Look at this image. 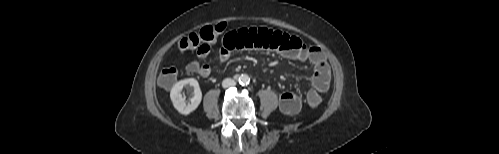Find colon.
Returning <instances> with one entry per match:
<instances>
[{"label":"colon","mask_w":499,"mask_h":154,"mask_svg":"<svg viewBox=\"0 0 499 154\" xmlns=\"http://www.w3.org/2000/svg\"><path fill=\"white\" fill-rule=\"evenodd\" d=\"M225 28L226 25L224 23L205 26L199 31L183 37L178 42V48L183 51L197 49L203 43L213 42ZM177 75L178 72L175 67L167 66L162 69L158 77V83L161 87L170 89L176 83ZM306 102L310 108H317L321 103V97L318 92L310 90L306 95Z\"/></svg>","instance_id":"1"}]
</instances>
